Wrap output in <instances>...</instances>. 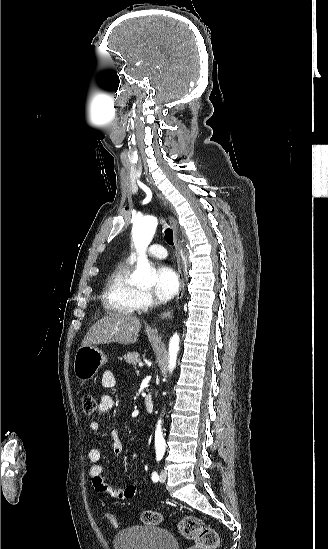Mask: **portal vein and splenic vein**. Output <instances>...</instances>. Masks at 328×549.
Segmentation results:
<instances>
[{
    "instance_id": "obj_1",
    "label": "portal vein and splenic vein",
    "mask_w": 328,
    "mask_h": 549,
    "mask_svg": "<svg viewBox=\"0 0 328 549\" xmlns=\"http://www.w3.org/2000/svg\"><path fill=\"white\" fill-rule=\"evenodd\" d=\"M139 367H143V363H139Z\"/></svg>"
}]
</instances>
